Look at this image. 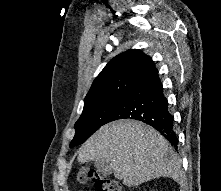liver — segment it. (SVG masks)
I'll list each match as a JSON object with an SVG mask.
<instances>
[{
  "label": "liver",
  "mask_w": 221,
  "mask_h": 191,
  "mask_svg": "<svg viewBox=\"0 0 221 191\" xmlns=\"http://www.w3.org/2000/svg\"><path fill=\"white\" fill-rule=\"evenodd\" d=\"M78 162L103 160L114 176L131 187L159 177L181 182V160L154 128L136 120L102 126L80 148Z\"/></svg>",
  "instance_id": "liver-1"
}]
</instances>
